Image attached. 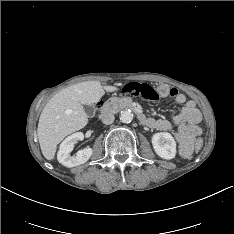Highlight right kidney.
Masks as SVG:
<instances>
[{
  "label": "right kidney",
  "mask_w": 234,
  "mask_h": 234,
  "mask_svg": "<svg viewBox=\"0 0 234 234\" xmlns=\"http://www.w3.org/2000/svg\"><path fill=\"white\" fill-rule=\"evenodd\" d=\"M84 135L82 132H76L70 136H68L59 147V151L57 154V159L59 163L66 167H75L81 164H84L89 160L92 155V149L86 148L83 150H79L76 155L71 156V152L74 149V145L79 141L83 140Z\"/></svg>",
  "instance_id": "ca27d5eb"
}]
</instances>
